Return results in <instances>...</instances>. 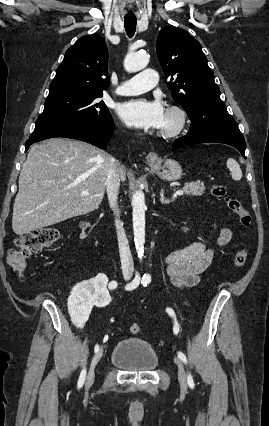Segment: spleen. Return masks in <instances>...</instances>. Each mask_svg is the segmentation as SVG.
<instances>
[{"mask_svg": "<svg viewBox=\"0 0 269 426\" xmlns=\"http://www.w3.org/2000/svg\"><path fill=\"white\" fill-rule=\"evenodd\" d=\"M227 168L231 171V177L235 181H240L242 178V171L239 164L233 158L227 160Z\"/></svg>", "mask_w": 269, "mask_h": 426, "instance_id": "1", "label": "spleen"}]
</instances>
